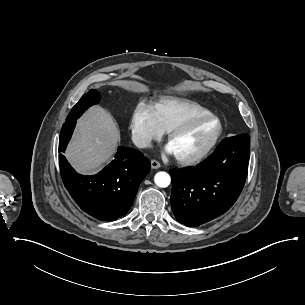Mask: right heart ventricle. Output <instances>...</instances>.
<instances>
[{
    "label": "right heart ventricle",
    "mask_w": 305,
    "mask_h": 305,
    "mask_svg": "<svg viewBox=\"0 0 305 305\" xmlns=\"http://www.w3.org/2000/svg\"><path fill=\"white\" fill-rule=\"evenodd\" d=\"M155 110L158 123L164 132H170L189 118L211 112L198 102L176 97L163 100Z\"/></svg>",
    "instance_id": "right-heart-ventricle-1"
}]
</instances>
